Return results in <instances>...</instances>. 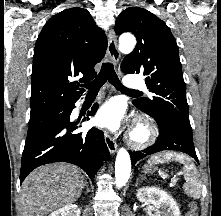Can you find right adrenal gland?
Instances as JSON below:
<instances>
[{"instance_id": "2a0ac1e0", "label": "right adrenal gland", "mask_w": 221, "mask_h": 216, "mask_svg": "<svg viewBox=\"0 0 221 216\" xmlns=\"http://www.w3.org/2000/svg\"><path fill=\"white\" fill-rule=\"evenodd\" d=\"M84 186L86 187L87 192H90L89 187H88V183H87V182L84 183Z\"/></svg>"}]
</instances>
